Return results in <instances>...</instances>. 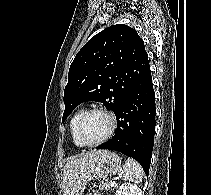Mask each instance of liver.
<instances>
[{
	"label": "liver",
	"instance_id": "liver-1",
	"mask_svg": "<svg viewBox=\"0 0 211 195\" xmlns=\"http://www.w3.org/2000/svg\"><path fill=\"white\" fill-rule=\"evenodd\" d=\"M101 151L94 150L68 159L62 173L63 195H82L94 160Z\"/></svg>",
	"mask_w": 211,
	"mask_h": 195
}]
</instances>
